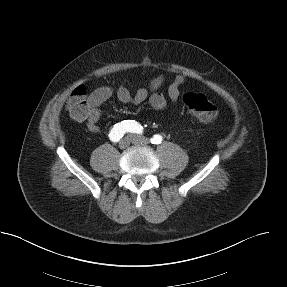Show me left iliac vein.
<instances>
[{
    "label": "left iliac vein",
    "mask_w": 287,
    "mask_h": 287,
    "mask_svg": "<svg viewBox=\"0 0 287 287\" xmlns=\"http://www.w3.org/2000/svg\"><path fill=\"white\" fill-rule=\"evenodd\" d=\"M130 140L136 145H147L150 142L148 138L139 135H130Z\"/></svg>",
    "instance_id": "1"
}]
</instances>
